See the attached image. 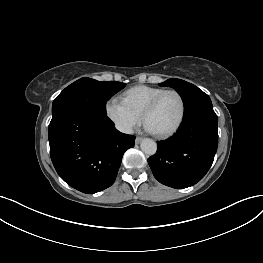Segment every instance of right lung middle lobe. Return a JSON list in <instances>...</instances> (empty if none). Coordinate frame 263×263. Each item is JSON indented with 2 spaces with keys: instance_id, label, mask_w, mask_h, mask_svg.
<instances>
[{
  "instance_id": "dd1d6c3e",
  "label": "right lung middle lobe",
  "mask_w": 263,
  "mask_h": 263,
  "mask_svg": "<svg viewBox=\"0 0 263 263\" xmlns=\"http://www.w3.org/2000/svg\"><path fill=\"white\" fill-rule=\"evenodd\" d=\"M125 87L121 82H100L81 78L66 87L53 101L52 118L65 110H86L106 114V102Z\"/></svg>"
}]
</instances>
